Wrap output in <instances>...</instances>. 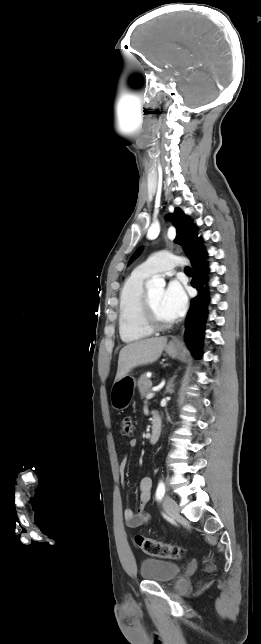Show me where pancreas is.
Here are the masks:
<instances>
[{"mask_svg": "<svg viewBox=\"0 0 261 644\" xmlns=\"http://www.w3.org/2000/svg\"><path fill=\"white\" fill-rule=\"evenodd\" d=\"M152 382L143 374L138 380V388L142 398L146 397L151 392Z\"/></svg>", "mask_w": 261, "mask_h": 644, "instance_id": "obj_1", "label": "pancreas"}]
</instances>
